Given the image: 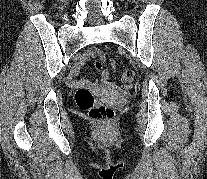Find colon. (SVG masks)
Returning <instances> with one entry per match:
<instances>
[{"label":"colon","mask_w":207,"mask_h":179,"mask_svg":"<svg viewBox=\"0 0 207 179\" xmlns=\"http://www.w3.org/2000/svg\"><path fill=\"white\" fill-rule=\"evenodd\" d=\"M97 69L102 68V64L97 61L95 63ZM134 74L132 71H126L122 75V82L125 85H130L133 81ZM77 106L84 111H87L89 117L100 125L109 126L113 123L115 112L114 110L103 103L96 101L93 93L88 88H79L75 94Z\"/></svg>","instance_id":"5ec220e1"}]
</instances>
